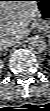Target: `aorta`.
<instances>
[{
	"mask_svg": "<svg viewBox=\"0 0 50 111\" xmlns=\"http://www.w3.org/2000/svg\"><path fill=\"white\" fill-rule=\"evenodd\" d=\"M28 47L34 52L41 53L46 49V44L41 37L33 36L28 41Z\"/></svg>",
	"mask_w": 50,
	"mask_h": 111,
	"instance_id": "obj_1",
	"label": "aorta"
}]
</instances>
